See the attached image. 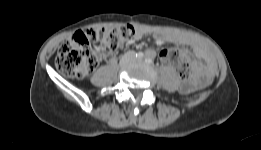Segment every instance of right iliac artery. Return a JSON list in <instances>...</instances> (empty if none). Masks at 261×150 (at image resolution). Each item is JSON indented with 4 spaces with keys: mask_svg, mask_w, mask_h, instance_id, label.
Here are the masks:
<instances>
[{
    "mask_svg": "<svg viewBox=\"0 0 261 150\" xmlns=\"http://www.w3.org/2000/svg\"><path fill=\"white\" fill-rule=\"evenodd\" d=\"M136 57H138V58H143V57H144V54H143L142 52H138V53L136 54Z\"/></svg>",
    "mask_w": 261,
    "mask_h": 150,
    "instance_id": "1",
    "label": "right iliac artery"
}]
</instances>
